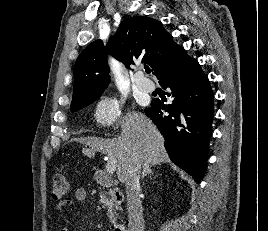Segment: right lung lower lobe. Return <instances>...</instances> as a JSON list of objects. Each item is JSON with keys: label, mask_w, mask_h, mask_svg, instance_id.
Returning a JSON list of instances; mask_svg holds the SVG:
<instances>
[{"label": "right lung lower lobe", "mask_w": 268, "mask_h": 231, "mask_svg": "<svg viewBox=\"0 0 268 231\" xmlns=\"http://www.w3.org/2000/svg\"><path fill=\"white\" fill-rule=\"evenodd\" d=\"M172 104L154 99L145 113L165 138L171 160L200 183L207 164L214 116L213 92L199 63L191 59L159 79Z\"/></svg>", "instance_id": "right-lung-lower-lobe-1"}]
</instances>
